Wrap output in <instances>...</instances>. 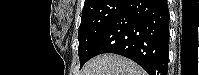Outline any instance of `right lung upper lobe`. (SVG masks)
<instances>
[{"instance_id":"obj_1","label":"right lung upper lobe","mask_w":199,"mask_h":75,"mask_svg":"<svg viewBox=\"0 0 199 75\" xmlns=\"http://www.w3.org/2000/svg\"><path fill=\"white\" fill-rule=\"evenodd\" d=\"M104 1H105V0H85L83 9L99 6V5H101Z\"/></svg>"}]
</instances>
